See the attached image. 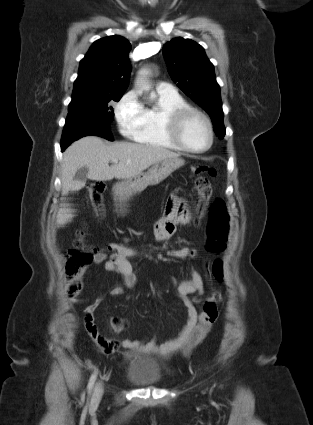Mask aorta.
I'll return each instance as SVG.
<instances>
[{"label":"aorta","mask_w":313,"mask_h":425,"mask_svg":"<svg viewBox=\"0 0 313 425\" xmlns=\"http://www.w3.org/2000/svg\"><path fill=\"white\" fill-rule=\"evenodd\" d=\"M148 71L146 69H141L138 72V75L135 80V87L141 93L142 91H147L150 88V85L147 80Z\"/></svg>","instance_id":"1"}]
</instances>
